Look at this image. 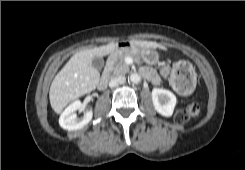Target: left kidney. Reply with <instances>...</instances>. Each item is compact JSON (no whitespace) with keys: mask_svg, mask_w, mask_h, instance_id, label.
<instances>
[{"mask_svg":"<svg viewBox=\"0 0 245 170\" xmlns=\"http://www.w3.org/2000/svg\"><path fill=\"white\" fill-rule=\"evenodd\" d=\"M152 101L155 110L159 114L165 117H170L173 114L177 99L169 90L154 88L152 90Z\"/></svg>","mask_w":245,"mask_h":170,"instance_id":"left-kidney-1","label":"left kidney"}]
</instances>
